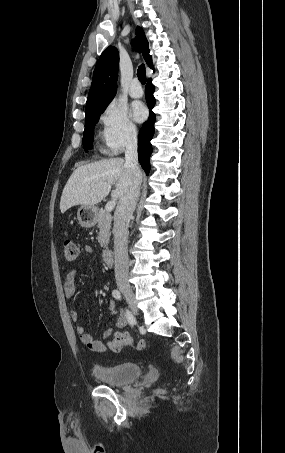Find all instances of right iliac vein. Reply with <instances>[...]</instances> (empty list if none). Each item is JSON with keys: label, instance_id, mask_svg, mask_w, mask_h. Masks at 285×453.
Segmentation results:
<instances>
[{"label": "right iliac vein", "instance_id": "obj_1", "mask_svg": "<svg viewBox=\"0 0 285 453\" xmlns=\"http://www.w3.org/2000/svg\"><path fill=\"white\" fill-rule=\"evenodd\" d=\"M118 288L124 294L127 301L129 302L131 308L136 313L137 309H136V305H135L134 293H133L132 288L129 285V283L121 281L118 283Z\"/></svg>", "mask_w": 285, "mask_h": 453}]
</instances>
